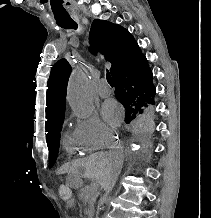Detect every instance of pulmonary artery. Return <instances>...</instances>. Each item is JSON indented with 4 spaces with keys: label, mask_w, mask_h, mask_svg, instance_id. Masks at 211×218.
I'll list each match as a JSON object with an SVG mask.
<instances>
[{
    "label": "pulmonary artery",
    "mask_w": 211,
    "mask_h": 218,
    "mask_svg": "<svg viewBox=\"0 0 211 218\" xmlns=\"http://www.w3.org/2000/svg\"><path fill=\"white\" fill-rule=\"evenodd\" d=\"M96 91H97L98 95L101 97H108L112 93L106 79L99 80V82L96 86Z\"/></svg>",
    "instance_id": "e3ab8cb5"
}]
</instances>
